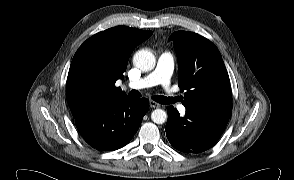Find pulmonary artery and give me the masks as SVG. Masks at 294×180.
Wrapping results in <instances>:
<instances>
[{"label":"pulmonary artery","mask_w":294,"mask_h":180,"mask_svg":"<svg viewBox=\"0 0 294 180\" xmlns=\"http://www.w3.org/2000/svg\"><path fill=\"white\" fill-rule=\"evenodd\" d=\"M172 72V55L168 52H165L159 56L156 68L143 78L130 83V87L133 89H143L159 84L168 87L170 84ZM178 111L181 114H184L186 112V108L183 105H178Z\"/></svg>","instance_id":"pulmonary-artery-1"}]
</instances>
